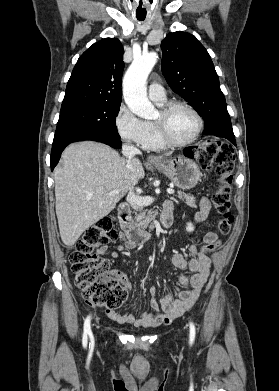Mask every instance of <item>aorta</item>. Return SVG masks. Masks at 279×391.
Wrapping results in <instances>:
<instances>
[{"label": "aorta", "instance_id": "1", "mask_svg": "<svg viewBox=\"0 0 279 391\" xmlns=\"http://www.w3.org/2000/svg\"><path fill=\"white\" fill-rule=\"evenodd\" d=\"M158 55L150 52L135 57L123 79V96L128 108L137 116L149 119L155 108L147 98L146 80L157 62Z\"/></svg>", "mask_w": 279, "mask_h": 391}]
</instances>
